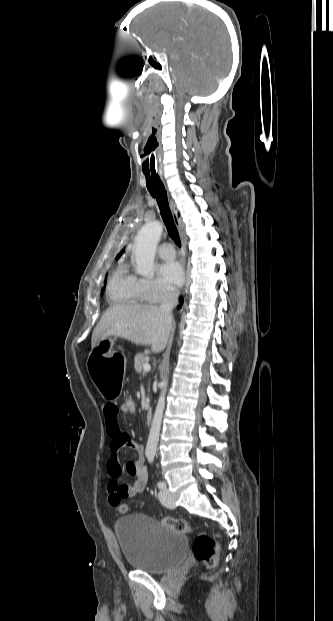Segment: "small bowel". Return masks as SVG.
Wrapping results in <instances>:
<instances>
[{
    "mask_svg": "<svg viewBox=\"0 0 333 621\" xmlns=\"http://www.w3.org/2000/svg\"><path fill=\"white\" fill-rule=\"evenodd\" d=\"M121 412H123L121 407L114 403H106L103 407L105 429L110 438L109 447L112 453L107 463L110 476L107 494L108 501L113 506H118L123 499L141 494L148 482V472L144 466L143 448L121 430L118 421ZM125 448L134 450L137 453V457L122 464L117 453ZM122 474L133 477V482L130 484L122 483L120 481Z\"/></svg>",
    "mask_w": 333,
    "mask_h": 621,
    "instance_id": "c3829d8e",
    "label": "small bowel"
}]
</instances>
